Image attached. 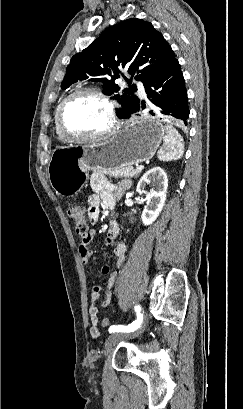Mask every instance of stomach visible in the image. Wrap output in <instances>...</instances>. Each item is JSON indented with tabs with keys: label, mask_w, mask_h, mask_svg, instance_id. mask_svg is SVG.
Wrapping results in <instances>:
<instances>
[{
	"label": "stomach",
	"mask_w": 243,
	"mask_h": 409,
	"mask_svg": "<svg viewBox=\"0 0 243 409\" xmlns=\"http://www.w3.org/2000/svg\"><path fill=\"white\" fill-rule=\"evenodd\" d=\"M164 135L160 120L142 116L130 119L105 141L58 147L48 163L50 184L58 195L77 194L89 171L115 170L151 159Z\"/></svg>",
	"instance_id": "1"
}]
</instances>
